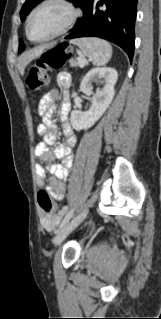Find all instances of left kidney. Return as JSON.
I'll return each instance as SVG.
<instances>
[{"label": "left kidney", "mask_w": 161, "mask_h": 319, "mask_svg": "<svg viewBox=\"0 0 161 319\" xmlns=\"http://www.w3.org/2000/svg\"><path fill=\"white\" fill-rule=\"evenodd\" d=\"M117 78V71L111 67L94 68L85 75L80 85V90L84 94L91 95V84L94 81H99L103 87L97 89L93 95L92 105L88 111L73 110L71 112L70 121L75 130H86L92 127L105 113L115 95L114 87Z\"/></svg>", "instance_id": "1"}]
</instances>
